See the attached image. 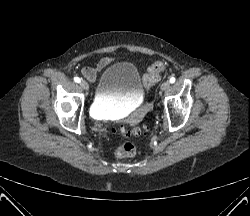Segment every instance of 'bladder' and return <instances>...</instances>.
Returning <instances> with one entry per match:
<instances>
[{
    "mask_svg": "<svg viewBox=\"0 0 250 216\" xmlns=\"http://www.w3.org/2000/svg\"><path fill=\"white\" fill-rule=\"evenodd\" d=\"M143 94L137 67L127 61L113 63L99 77L92 113L97 117L118 115L140 105Z\"/></svg>",
    "mask_w": 250,
    "mask_h": 216,
    "instance_id": "obj_1",
    "label": "bladder"
}]
</instances>
